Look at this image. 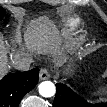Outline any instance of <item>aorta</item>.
I'll list each match as a JSON object with an SVG mask.
<instances>
[{"label":"aorta","instance_id":"aorta-1","mask_svg":"<svg viewBox=\"0 0 107 107\" xmlns=\"http://www.w3.org/2000/svg\"><path fill=\"white\" fill-rule=\"evenodd\" d=\"M38 88L40 95L46 98L54 96L56 92L55 85L51 81H44L40 83Z\"/></svg>","mask_w":107,"mask_h":107}]
</instances>
